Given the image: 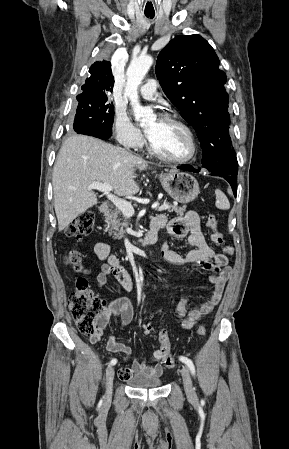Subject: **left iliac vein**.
Here are the masks:
<instances>
[{"mask_svg":"<svg viewBox=\"0 0 289 449\" xmlns=\"http://www.w3.org/2000/svg\"><path fill=\"white\" fill-rule=\"evenodd\" d=\"M181 376H182L183 385H184V389H185L187 396L190 398L195 397V391H194V387L192 384L190 372L186 366L182 367Z\"/></svg>","mask_w":289,"mask_h":449,"instance_id":"1","label":"left iliac vein"}]
</instances>
